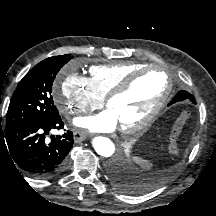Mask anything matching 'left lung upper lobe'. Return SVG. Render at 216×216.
<instances>
[{
  "label": "left lung upper lobe",
  "mask_w": 216,
  "mask_h": 216,
  "mask_svg": "<svg viewBox=\"0 0 216 216\" xmlns=\"http://www.w3.org/2000/svg\"><path fill=\"white\" fill-rule=\"evenodd\" d=\"M181 94H187V95H189V99L193 102V103H195V99H194V97H193V95H191V94H189L188 92H186V91H179Z\"/></svg>",
  "instance_id": "5c2ea615"
}]
</instances>
